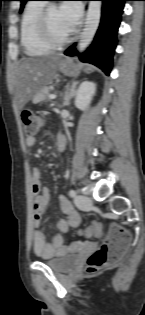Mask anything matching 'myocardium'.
Here are the masks:
<instances>
[{
    "mask_svg": "<svg viewBox=\"0 0 145 315\" xmlns=\"http://www.w3.org/2000/svg\"><path fill=\"white\" fill-rule=\"evenodd\" d=\"M53 7L55 6H46L41 11L37 20V33L41 40L49 47L61 48L72 40L73 31H71V33L62 40H56L55 38H53L49 29V15Z\"/></svg>",
    "mask_w": 145,
    "mask_h": 315,
    "instance_id": "myocardium-1",
    "label": "myocardium"
}]
</instances>
